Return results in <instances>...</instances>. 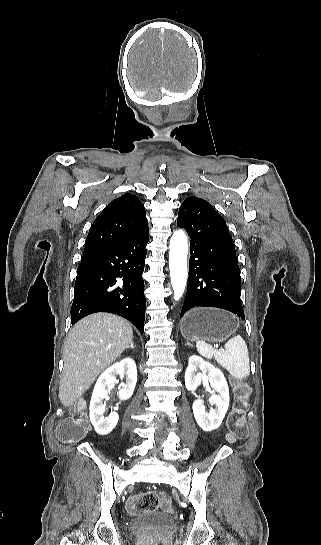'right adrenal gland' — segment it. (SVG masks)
<instances>
[{"label": "right adrenal gland", "mask_w": 321, "mask_h": 545, "mask_svg": "<svg viewBox=\"0 0 321 545\" xmlns=\"http://www.w3.org/2000/svg\"><path fill=\"white\" fill-rule=\"evenodd\" d=\"M127 349H135L133 341H131V343H130L129 347H127Z\"/></svg>", "instance_id": "right-adrenal-gland-1"}]
</instances>
